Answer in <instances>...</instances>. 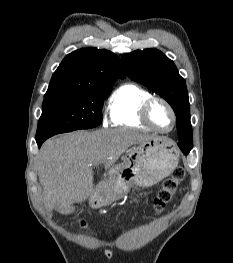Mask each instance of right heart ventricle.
Here are the masks:
<instances>
[{
    "label": "right heart ventricle",
    "instance_id": "right-heart-ventricle-1",
    "mask_svg": "<svg viewBox=\"0 0 233 263\" xmlns=\"http://www.w3.org/2000/svg\"><path fill=\"white\" fill-rule=\"evenodd\" d=\"M151 96L149 91L134 83L121 85L109 100L110 125L149 130L140 118V110L142 104Z\"/></svg>",
    "mask_w": 233,
    "mask_h": 263
}]
</instances>
